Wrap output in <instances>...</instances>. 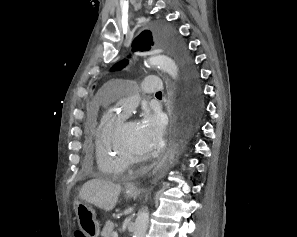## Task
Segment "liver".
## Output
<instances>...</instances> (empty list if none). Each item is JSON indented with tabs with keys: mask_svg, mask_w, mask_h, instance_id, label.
Returning a JSON list of instances; mask_svg holds the SVG:
<instances>
[{
	"mask_svg": "<svg viewBox=\"0 0 297 237\" xmlns=\"http://www.w3.org/2000/svg\"><path fill=\"white\" fill-rule=\"evenodd\" d=\"M121 190L119 184L96 178L82 186L79 197L100 209L110 211L115 208Z\"/></svg>",
	"mask_w": 297,
	"mask_h": 237,
	"instance_id": "obj_1",
	"label": "liver"
}]
</instances>
